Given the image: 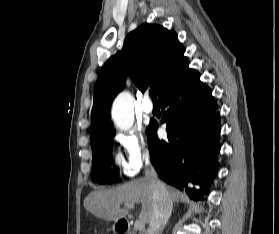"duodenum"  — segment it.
<instances>
[{
    "label": "duodenum",
    "mask_w": 279,
    "mask_h": 234,
    "mask_svg": "<svg viewBox=\"0 0 279 234\" xmlns=\"http://www.w3.org/2000/svg\"><path fill=\"white\" fill-rule=\"evenodd\" d=\"M128 225L127 223L120 221L119 224L117 225V231L119 234H127L128 233Z\"/></svg>",
    "instance_id": "1"
}]
</instances>
